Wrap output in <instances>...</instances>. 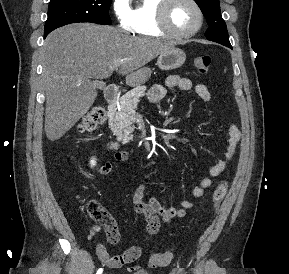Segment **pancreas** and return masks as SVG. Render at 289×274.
<instances>
[{"instance_id": "pancreas-1", "label": "pancreas", "mask_w": 289, "mask_h": 274, "mask_svg": "<svg viewBox=\"0 0 289 274\" xmlns=\"http://www.w3.org/2000/svg\"><path fill=\"white\" fill-rule=\"evenodd\" d=\"M145 87H138L123 95L119 101V110L109 118V128L119 141L133 140V123L136 117V107L140 98L145 95Z\"/></svg>"}]
</instances>
